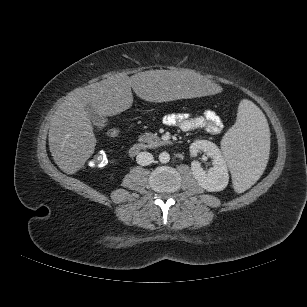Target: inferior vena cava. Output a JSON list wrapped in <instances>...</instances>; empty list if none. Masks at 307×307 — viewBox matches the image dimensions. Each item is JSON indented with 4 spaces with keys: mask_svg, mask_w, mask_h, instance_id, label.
Segmentation results:
<instances>
[{
    "mask_svg": "<svg viewBox=\"0 0 307 307\" xmlns=\"http://www.w3.org/2000/svg\"><path fill=\"white\" fill-rule=\"evenodd\" d=\"M136 161L141 166H147V165H150L154 161V158L151 153L144 151V152H140L137 155Z\"/></svg>",
    "mask_w": 307,
    "mask_h": 307,
    "instance_id": "obj_1",
    "label": "inferior vena cava"
}]
</instances>
